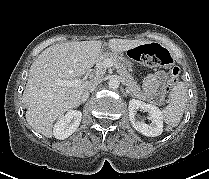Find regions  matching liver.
I'll return each instance as SVG.
<instances>
[{"label": "liver", "instance_id": "obj_1", "mask_svg": "<svg viewBox=\"0 0 209 179\" xmlns=\"http://www.w3.org/2000/svg\"><path fill=\"white\" fill-rule=\"evenodd\" d=\"M146 41L110 39L108 48L121 53ZM102 41H75L48 47L39 54L29 70L22 102L27 106L26 120L47 138L53 136L54 122L66 111L81 104L90 81L77 86H62L58 80H73L88 73L99 59Z\"/></svg>", "mask_w": 209, "mask_h": 179}]
</instances>
